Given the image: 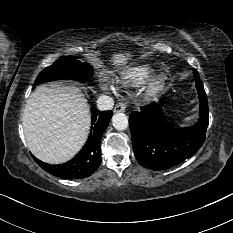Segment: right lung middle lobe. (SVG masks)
Segmentation results:
<instances>
[{
	"mask_svg": "<svg viewBox=\"0 0 233 233\" xmlns=\"http://www.w3.org/2000/svg\"><path fill=\"white\" fill-rule=\"evenodd\" d=\"M93 74V68L77 60L75 57H64L56 60L51 66L45 68L36 78L35 85L57 79H73L88 81Z\"/></svg>",
	"mask_w": 233,
	"mask_h": 233,
	"instance_id": "dd1d6c3e",
	"label": "right lung middle lobe"
}]
</instances>
